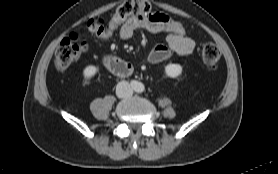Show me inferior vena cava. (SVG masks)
Instances as JSON below:
<instances>
[{"label":"inferior vena cava","instance_id":"602c4592","mask_svg":"<svg viewBox=\"0 0 278 174\" xmlns=\"http://www.w3.org/2000/svg\"><path fill=\"white\" fill-rule=\"evenodd\" d=\"M116 92L119 97L127 98L132 96L133 89L127 81H121L117 84Z\"/></svg>","mask_w":278,"mask_h":174}]
</instances>
